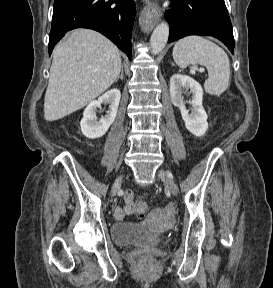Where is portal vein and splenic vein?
<instances>
[{
	"mask_svg": "<svg viewBox=\"0 0 273 288\" xmlns=\"http://www.w3.org/2000/svg\"><path fill=\"white\" fill-rule=\"evenodd\" d=\"M196 70H197V66H192V67H191V72H192V73H195ZM203 71H204V69L201 68V69H200V72H203Z\"/></svg>",
	"mask_w": 273,
	"mask_h": 288,
	"instance_id": "1",
	"label": "portal vein and splenic vein"
}]
</instances>
